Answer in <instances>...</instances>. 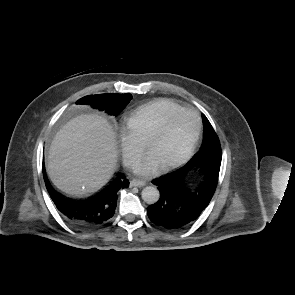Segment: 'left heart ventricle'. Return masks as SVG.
I'll return each mask as SVG.
<instances>
[{"label": "left heart ventricle", "mask_w": 295, "mask_h": 295, "mask_svg": "<svg viewBox=\"0 0 295 295\" xmlns=\"http://www.w3.org/2000/svg\"><path fill=\"white\" fill-rule=\"evenodd\" d=\"M196 130L195 117L181 114L169 125L164 135L153 143L148 153L160 166L179 158L188 148Z\"/></svg>", "instance_id": "b2bd125f"}]
</instances>
